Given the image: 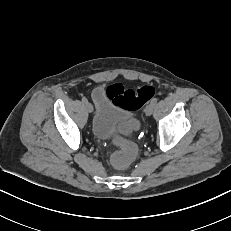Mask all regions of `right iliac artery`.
<instances>
[{"mask_svg": "<svg viewBox=\"0 0 231 231\" xmlns=\"http://www.w3.org/2000/svg\"><path fill=\"white\" fill-rule=\"evenodd\" d=\"M82 102H83V103H87L88 100H87L85 97H83V98H82Z\"/></svg>", "mask_w": 231, "mask_h": 231, "instance_id": "1", "label": "right iliac artery"}]
</instances>
